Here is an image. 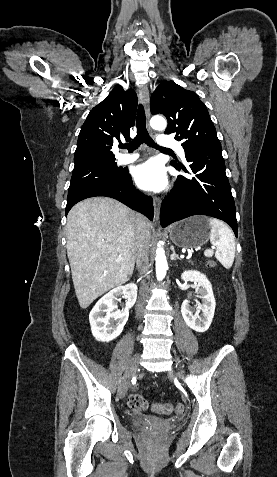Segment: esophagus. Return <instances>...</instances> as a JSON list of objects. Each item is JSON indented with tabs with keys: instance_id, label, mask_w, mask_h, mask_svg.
Here are the masks:
<instances>
[{
	"instance_id": "1",
	"label": "esophagus",
	"mask_w": 277,
	"mask_h": 477,
	"mask_svg": "<svg viewBox=\"0 0 277 477\" xmlns=\"http://www.w3.org/2000/svg\"><path fill=\"white\" fill-rule=\"evenodd\" d=\"M139 97L144 105L145 114L147 119L150 118V107H149V91L145 85L139 87ZM153 206H154V216L155 219H159L161 199L157 196L153 197Z\"/></svg>"
}]
</instances>
